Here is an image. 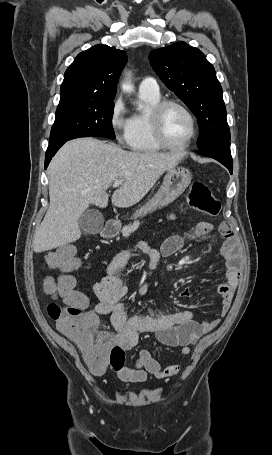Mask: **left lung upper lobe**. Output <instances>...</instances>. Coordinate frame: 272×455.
<instances>
[{
	"label": "left lung upper lobe",
	"mask_w": 272,
	"mask_h": 455,
	"mask_svg": "<svg viewBox=\"0 0 272 455\" xmlns=\"http://www.w3.org/2000/svg\"><path fill=\"white\" fill-rule=\"evenodd\" d=\"M149 60L165 85L195 114L198 149L230 140L222 87L204 54L185 42L151 51Z\"/></svg>",
	"instance_id": "left-lung-upper-lobe-1"
}]
</instances>
